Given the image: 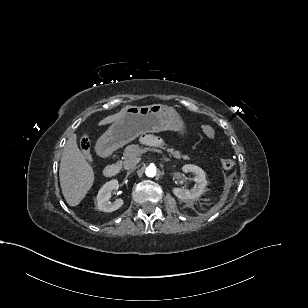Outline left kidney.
Returning a JSON list of instances; mask_svg holds the SVG:
<instances>
[{
	"mask_svg": "<svg viewBox=\"0 0 308 308\" xmlns=\"http://www.w3.org/2000/svg\"><path fill=\"white\" fill-rule=\"evenodd\" d=\"M184 173L192 172L194 174L195 186L191 189L173 188V194L180 200H193L200 197L207 186L205 172L198 166L186 164L182 167Z\"/></svg>",
	"mask_w": 308,
	"mask_h": 308,
	"instance_id": "obj_1",
	"label": "left kidney"
}]
</instances>
